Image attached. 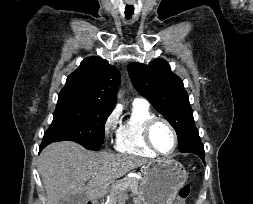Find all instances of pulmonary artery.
I'll use <instances>...</instances> for the list:
<instances>
[{"mask_svg":"<svg viewBox=\"0 0 253 204\" xmlns=\"http://www.w3.org/2000/svg\"><path fill=\"white\" fill-rule=\"evenodd\" d=\"M133 104L149 106L148 101L144 98H135L133 101Z\"/></svg>","mask_w":253,"mask_h":204,"instance_id":"obj_1","label":"pulmonary artery"}]
</instances>
